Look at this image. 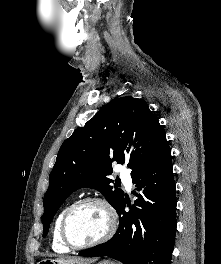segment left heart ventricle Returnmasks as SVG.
Masks as SVG:
<instances>
[{"instance_id": "b2bd125f", "label": "left heart ventricle", "mask_w": 221, "mask_h": 264, "mask_svg": "<svg viewBox=\"0 0 221 264\" xmlns=\"http://www.w3.org/2000/svg\"><path fill=\"white\" fill-rule=\"evenodd\" d=\"M107 227L108 218L102 207L84 204L70 216L68 234L75 244H86L102 237Z\"/></svg>"}]
</instances>
